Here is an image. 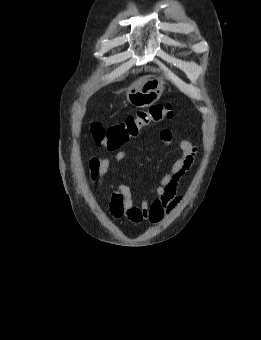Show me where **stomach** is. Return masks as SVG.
<instances>
[{
	"instance_id": "0dacf381",
	"label": "stomach",
	"mask_w": 261,
	"mask_h": 340,
	"mask_svg": "<svg viewBox=\"0 0 261 340\" xmlns=\"http://www.w3.org/2000/svg\"><path fill=\"white\" fill-rule=\"evenodd\" d=\"M164 82L159 77L146 76L131 85L126 93L127 101L138 108L153 105L162 95Z\"/></svg>"
}]
</instances>
